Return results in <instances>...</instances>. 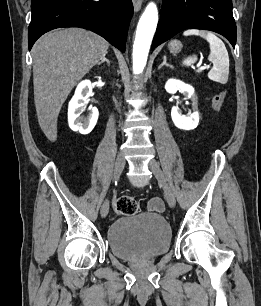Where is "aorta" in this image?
I'll return each instance as SVG.
<instances>
[{
    "instance_id": "1",
    "label": "aorta",
    "mask_w": 261,
    "mask_h": 306,
    "mask_svg": "<svg viewBox=\"0 0 261 306\" xmlns=\"http://www.w3.org/2000/svg\"><path fill=\"white\" fill-rule=\"evenodd\" d=\"M157 23V7L154 3H149L138 22L133 44V71L135 74H141L146 66Z\"/></svg>"
}]
</instances>
